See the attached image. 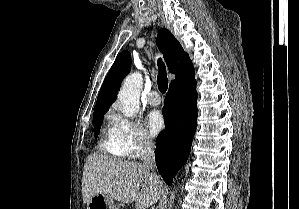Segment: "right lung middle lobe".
<instances>
[{
    "label": "right lung middle lobe",
    "instance_id": "dd1d6c3e",
    "mask_svg": "<svg viewBox=\"0 0 299 209\" xmlns=\"http://www.w3.org/2000/svg\"><path fill=\"white\" fill-rule=\"evenodd\" d=\"M104 113H97L94 114V133H95V137H97L98 131L101 128V124L103 121V117H104Z\"/></svg>",
    "mask_w": 299,
    "mask_h": 209
}]
</instances>
